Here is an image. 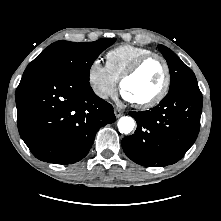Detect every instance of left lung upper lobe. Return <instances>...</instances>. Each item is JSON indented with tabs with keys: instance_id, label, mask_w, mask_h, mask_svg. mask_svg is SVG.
<instances>
[{
	"instance_id": "5c2ea615",
	"label": "left lung upper lobe",
	"mask_w": 221,
	"mask_h": 221,
	"mask_svg": "<svg viewBox=\"0 0 221 221\" xmlns=\"http://www.w3.org/2000/svg\"><path fill=\"white\" fill-rule=\"evenodd\" d=\"M158 47L166 59L170 70L171 82L169 92L183 85L197 84V79L193 71L174 52L163 45H158Z\"/></svg>"
}]
</instances>
